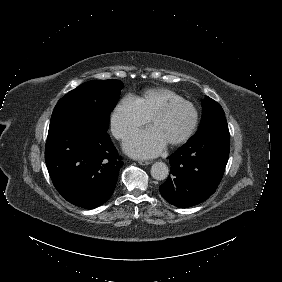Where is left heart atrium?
<instances>
[{"instance_id": "obj_1", "label": "left heart atrium", "mask_w": 282, "mask_h": 282, "mask_svg": "<svg viewBox=\"0 0 282 282\" xmlns=\"http://www.w3.org/2000/svg\"><path fill=\"white\" fill-rule=\"evenodd\" d=\"M166 140L156 127L131 135L125 142V149L133 156L147 158L160 153Z\"/></svg>"}]
</instances>
